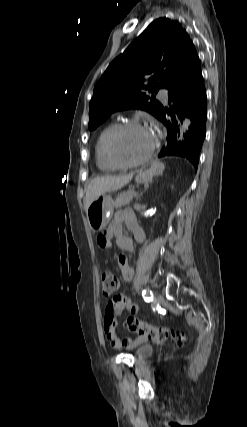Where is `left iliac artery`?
<instances>
[{
	"label": "left iliac artery",
	"mask_w": 247,
	"mask_h": 427,
	"mask_svg": "<svg viewBox=\"0 0 247 427\" xmlns=\"http://www.w3.org/2000/svg\"><path fill=\"white\" fill-rule=\"evenodd\" d=\"M142 296L146 302H151L153 300V293L149 289H144L142 291Z\"/></svg>",
	"instance_id": "obj_1"
}]
</instances>
